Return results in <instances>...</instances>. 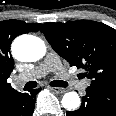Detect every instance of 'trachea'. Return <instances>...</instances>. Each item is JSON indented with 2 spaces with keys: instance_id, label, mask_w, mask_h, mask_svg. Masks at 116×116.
<instances>
[{
  "instance_id": "obj_1",
  "label": "trachea",
  "mask_w": 116,
  "mask_h": 116,
  "mask_svg": "<svg viewBox=\"0 0 116 116\" xmlns=\"http://www.w3.org/2000/svg\"><path fill=\"white\" fill-rule=\"evenodd\" d=\"M49 85L53 87H67L68 83L62 80H54V81H51ZM36 86H37L36 81H30L24 86V90H29V89L35 88Z\"/></svg>"
}]
</instances>
